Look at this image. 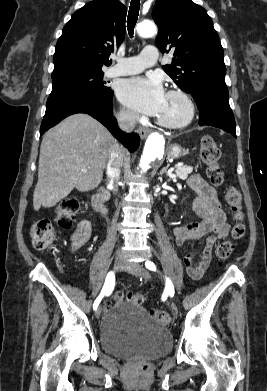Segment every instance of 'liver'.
<instances>
[{"label":"liver","mask_w":267,"mask_h":391,"mask_svg":"<svg viewBox=\"0 0 267 391\" xmlns=\"http://www.w3.org/2000/svg\"><path fill=\"white\" fill-rule=\"evenodd\" d=\"M115 144L110 132L87 114L71 115L49 130L40 147L34 209L53 207L74 188L95 189Z\"/></svg>","instance_id":"obj_1"}]
</instances>
